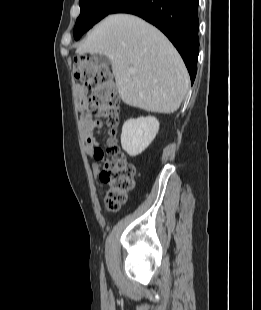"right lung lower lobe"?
<instances>
[{
	"mask_svg": "<svg viewBox=\"0 0 261 310\" xmlns=\"http://www.w3.org/2000/svg\"><path fill=\"white\" fill-rule=\"evenodd\" d=\"M199 0H124L110 14L137 15L159 28L182 56L193 84L199 54Z\"/></svg>",
	"mask_w": 261,
	"mask_h": 310,
	"instance_id": "obj_1",
	"label": "right lung lower lobe"
}]
</instances>
